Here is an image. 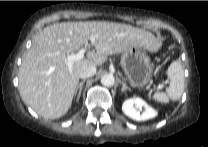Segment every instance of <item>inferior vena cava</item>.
Masks as SVG:
<instances>
[{
  "label": "inferior vena cava",
  "instance_id": "1",
  "mask_svg": "<svg viewBox=\"0 0 208 147\" xmlns=\"http://www.w3.org/2000/svg\"><path fill=\"white\" fill-rule=\"evenodd\" d=\"M96 66L95 65H89L87 67H84L79 72V77L82 79H86L88 77H92L96 74Z\"/></svg>",
  "mask_w": 208,
  "mask_h": 147
}]
</instances>
